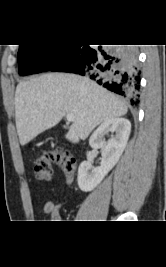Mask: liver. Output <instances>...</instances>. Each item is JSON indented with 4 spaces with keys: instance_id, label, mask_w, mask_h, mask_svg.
<instances>
[{
    "instance_id": "1",
    "label": "liver",
    "mask_w": 166,
    "mask_h": 267,
    "mask_svg": "<svg viewBox=\"0 0 166 267\" xmlns=\"http://www.w3.org/2000/svg\"><path fill=\"white\" fill-rule=\"evenodd\" d=\"M124 101L94 81L64 73H47L17 85L15 122L21 145L57 125L62 117L75 119L66 139L78 143L100 123L123 116Z\"/></svg>"
}]
</instances>
